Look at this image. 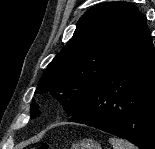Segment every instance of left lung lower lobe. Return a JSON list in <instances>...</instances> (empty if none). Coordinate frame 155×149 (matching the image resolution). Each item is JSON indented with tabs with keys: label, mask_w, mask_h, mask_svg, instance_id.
Instances as JSON below:
<instances>
[{
	"label": "left lung lower lobe",
	"mask_w": 155,
	"mask_h": 149,
	"mask_svg": "<svg viewBox=\"0 0 155 149\" xmlns=\"http://www.w3.org/2000/svg\"><path fill=\"white\" fill-rule=\"evenodd\" d=\"M68 122L93 126L140 149H155V49L145 16Z\"/></svg>",
	"instance_id": "1"
}]
</instances>
